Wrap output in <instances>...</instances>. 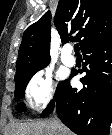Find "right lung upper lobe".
Masks as SVG:
<instances>
[{"label":"right lung upper lobe","mask_w":112,"mask_h":135,"mask_svg":"<svg viewBox=\"0 0 112 135\" xmlns=\"http://www.w3.org/2000/svg\"><path fill=\"white\" fill-rule=\"evenodd\" d=\"M54 23L62 42L76 39L83 51L112 38V1L59 0ZM50 24L48 11L25 30L15 76L37 72L50 62Z\"/></svg>","instance_id":"right-lung-upper-lobe-1"}]
</instances>
